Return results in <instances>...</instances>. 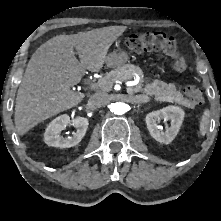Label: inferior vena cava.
<instances>
[{
	"label": "inferior vena cava",
	"mask_w": 221,
	"mask_h": 221,
	"mask_svg": "<svg viewBox=\"0 0 221 221\" xmlns=\"http://www.w3.org/2000/svg\"><path fill=\"white\" fill-rule=\"evenodd\" d=\"M109 102V96L106 93H96L89 98V106L91 108H100Z\"/></svg>",
	"instance_id": "602c4592"
}]
</instances>
